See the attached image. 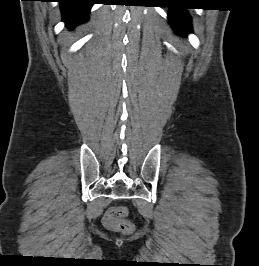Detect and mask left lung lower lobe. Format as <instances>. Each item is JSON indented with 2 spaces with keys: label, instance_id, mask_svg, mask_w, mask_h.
Listing matches in <instances>:
<instances>
[{
  "label": "left lung lower lobe",
  "instance_id": "1",
  "mask_svg": "<svg viewBox=\"0 0 259 266\" xmlns=\"http://www.w3.org/2000/svg\"><path fill=\"white\" fill-rule=\"evenodd\" d=\"M171 8L169 20L173 28L180 34L192 32L191 19L184 11V7H167Z\"/></svg>",
  "mask_w": 259,
  "mask_h": 266
}]
</instances>
